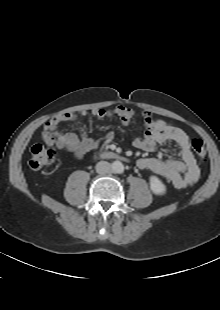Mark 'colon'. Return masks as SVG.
<instances>
[{"instance_id":"colon-1","label":"colon","mask_w":220,"mask_h":310,"mask_svg":"<svg viewBox=\"0 0 220 310\" xmlns=\"http://www.w3.org/2000/svg\"><path fill=\"white\" fill-rule=\"evenodd\" d=\"M192 148L200 160L204 161L206 159L207 151L202 140H193ZM30 154L29 166L33 170H40L53 164L57 157L56 152L53 149L48 148L41 143L34 144L30 149Z\"/></svg>"}]
</instances>
